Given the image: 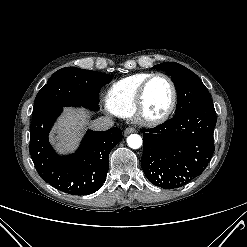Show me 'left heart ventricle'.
<instances>
[{
    "mask_svg": "<svg viewBox=\"0 0 247 247\" xmlns=\"http://www.w3.org/2000/svg\"><path fill=\"white\" fill-rule=\"evenodd\" d=\"M172 100V89L169 82L162 77L153 79L146 90L143 112L145 116H161L169 108Z\"/></svg>",
    "mask_w": 247,
    "mask_h": 247,
    "instance_id": "1",
    "label": "left heart ventricle"
}]
</instances>
